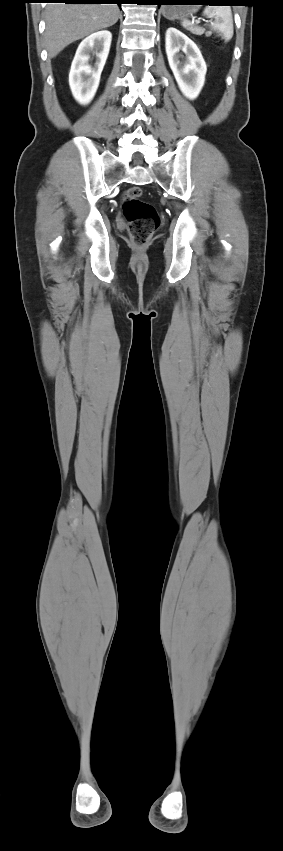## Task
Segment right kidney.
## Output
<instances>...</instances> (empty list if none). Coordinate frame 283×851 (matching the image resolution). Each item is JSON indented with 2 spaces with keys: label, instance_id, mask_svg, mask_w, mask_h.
<instances>
[{
  "label": "right kidney",
  "instance_id": "1",
  "mask_svg": "<svg viewBox=\"0 0 283 851\" xmlns=\"http://www.w3.org/2000/svg\"><path fill=\"white\" fill-rule=\"evenodd\" d=\"M111 40L112 34L102 30L86 37L78 46L69 73V85L74 98L82 105L90 103L97 91ZM91 53L96 55L94 66L90 64Z\"/></svg>",
  "mask_w": 283,
  "mask_h": 851
}]
</instances>
